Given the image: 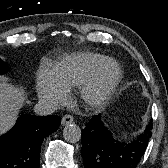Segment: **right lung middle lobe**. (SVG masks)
Instances as JSON below:
<instances>
[{
  "instance_id": "1",
  "label": "right lung middle lobe",
  "mask_w": 168,
  "mask_h": 168,
  "mask_svg": "<svg viewBox=\"0 0 168 168\" xmlns=\"http://www.w3.org/2000/svg\"><path fill=\"white\" fill-rule=\"evenodd\" d=\"M8 70V64L0 60V75Z\"/></svg>"
}]
</instances>
